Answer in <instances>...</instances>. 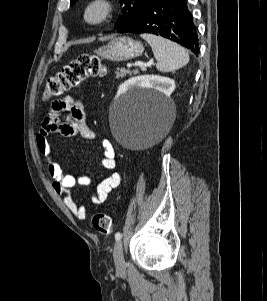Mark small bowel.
I'll return each instance as SVG.
<instances>
[{"label":"small bowel","mask_w":267,"mask_h":301,"mask_svg":"<svg viewBox=\"0 0 267 301\" xmlns=\"http://www.w3.org/2000/svg\"><path fill=\"white\" fill-rule=\"evenodd\" d=\"M65 113V120L60 116ZM58 133L66 137L80 135L85 139L94 140L95 133L87 123L82 99L67 96L55 101L46 113L41 129L37 136V147L47 162L48 173L52 179V186L58 195L63 196L64 203L69 211L80 220L87 218L86 209L79 205L71 196L70 191L75 186H89L91 178L87 175L75 177L65 174L57 161V154L53 150L48 137L50 134ZM103 154L101 164L104 169L113 171L116 168L115 152L111 142L107 139L101 141ZM122 181V175L113 171L103 179L97 186L96 193L92 196L94 204L103 203L109 193L117 188Z\"/></svg>","instance_id":"c3829d8e"}]
</instances>
